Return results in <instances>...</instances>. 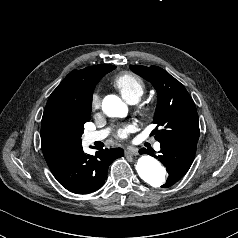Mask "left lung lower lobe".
Returning <instances> with one entry per match:
<instances>
[{
  "label": "left lung lower lobe",
  "instance_id": "0a47b994",
  "mask_svg": "<svg viewBox=\"0 0 238 238\" xmlns=\"http://www.w3.org/2000/svg\"><path fill=\"white\" fill-rule=\"evenodd\" d=\"M160 155L155 156L153 152L142 149L140 153L147 152L158 158L166 167L169 177L161 187L167 188L178 182L191 167L197 144L185 142H162L160 143Z\"/></svg>",
  "mask_w": 238,
  "mask_h": 238
}]
</instances>
